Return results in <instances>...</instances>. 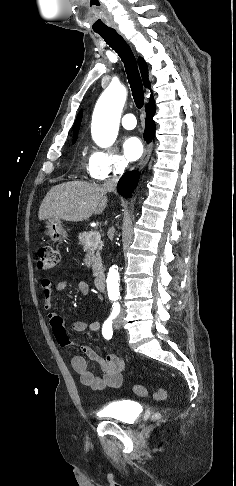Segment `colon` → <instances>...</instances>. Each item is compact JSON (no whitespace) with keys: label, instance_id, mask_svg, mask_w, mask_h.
<instances>
[{"label":"colon","instance_id":"5ec220e1","mask_svg":"<svg viewBox=\"0 0 236 486\" xmlns=\"http://www.w3.org/2000/svg\"><path fill=\"white\" fill-rule=\"evenodd\" d=\"M59 262V253L51 246L42 247L38 252V266L43 270L53 269ZM134 392L137 396L146 398L152 396L157 401L166 400L169 392L166 389H159L150 394L149 390L143 385H136Z\"/></svg>","mask_w":236,"mask_h":486}]
</instances>
